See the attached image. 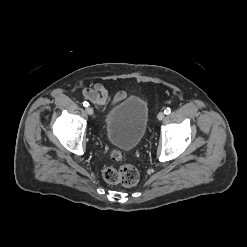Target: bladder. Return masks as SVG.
<instances>
[{"instance_id":"obj_1","label":"bladder","mask_w":247,"mask_h":247,"mask_svg":"<svg viewBox=\"0 0 247 247\" xmlns=\"http://www.w3.org/2000/svg\"><path fill=\"white\" fill-rule=\"evenodd\" d=\"M148 116V105L143 99L137 96L124 99L105 115L106 138L119 149H134L146 133Z\"/></svg>"}]
</instances>
